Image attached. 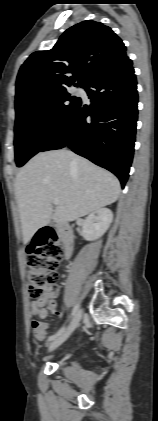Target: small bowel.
<instances>
[{"label":"small bowel","instance_id":"c3829d8e","mask_svg":"<svg viewBox=\"0 0 158 421\" xmlns=\"http://www.w3.org/2000/svg\"><path fill=\"white\" fill-rule=\"evenodd\" d=\"M55 306L53 301H50L48 303L46 302H33L31 304V314L33 317H38L40 319H44L47 317L48 313L45 307H48L50 309H53ZM59 314V313H57ZM31 327L33 330L34 337L38 341H44L46 339V336L48 334L49 326L47 323L33 319L31 322Z\"/></svg>","mask_w":158,"mask_h":421}]
</instances>
